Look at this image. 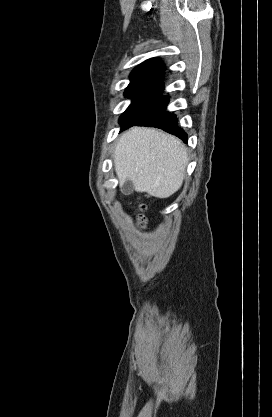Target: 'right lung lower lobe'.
Returning <instances> with one entry per match:
<instances>
[{"instance_id": "obj_1", "label": "right lung lower lobe", "mask_w": 272, "mask_h": 417, "mask_svg": "<svg viewBox=\"0 0 272 417\" xmlns=\"http://www.w3.org/2000/svg\"><path fill=\"white\" fill-rule=\"evenodd\" d=\"M168 102L169 98L167 96H160L147 113L125 129L133 125L156 127L174 134L184 142H187V134L177 126V117L173 113L165 110Z\"/></svg>"}]
</instances>
